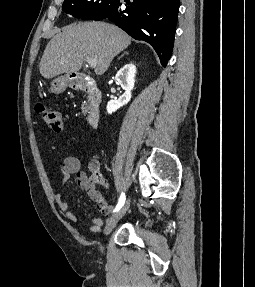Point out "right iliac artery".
I'll use <instances>...</instances> for the list:
<instances>
[{
    "instance_id": "obj_1",
    "label": "right iliac artery",
    "mask_w": 255,
    "mask_h": 287,
    "mask_svg": "<svg viewBox=\"0 0 255 287\" xmlns=\"http://www.w3.org/2000/svg\"><path fill=\"white\" fill-rule=\"evenodd\" d=\"M125 203V194L122 193L121 196H120V199H119V202L116 206V208L114 209V212L118 211Z\"/></svg>"
}]
</instances>
